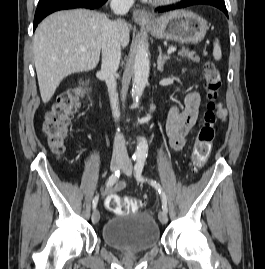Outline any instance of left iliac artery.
<instances>
[{"label": "left iliac artery", "instance_id": "44dca946", "mask_svg": "<svg viewBox=\"0 0 265 269\" xmlns=\"http://www.w3.org/2000/svg\"><path fill=\"white\" fill-rule=\"evenodd\" d=\"M145 160L146 157L145 156H139L137 158L134 170H135V177L138 181L140 182H144L145 179L143 177L142 171L145 165ZM147 181V179H146ZM150 184L159 192L160 196H161V200H162V209L164 212L167 213V199H166V194L163 190V188L161 187V185L159 183H157L156 181L151 180Z\"/></svg>", "mask_w": 265, "mask_h": 269}]
</instances>
